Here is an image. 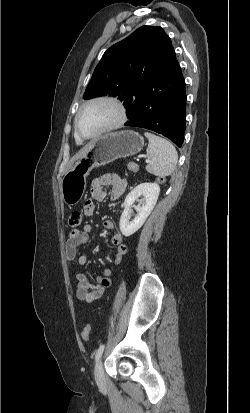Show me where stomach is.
Wrapping results in <instances>:
<instances>
[{"mask_svg": "<svg viewBox=\"0 0 250 413\" xmlns=\"http://www.w3.org/2000/svg\"><path fill=\"white\" fill-rule=\"evenodd\" d=\"M143 146V137L132 130L107 133L92 141L90 150L79 158L61 180L60 191L64 203L73 206L81 200L87 176L93 168L118 158L133 156Z\"/></svg>", "mask_w": 250, "mask_h": 413, "instance_id": "obj_1", "label": "stomach"}]
</instances>
